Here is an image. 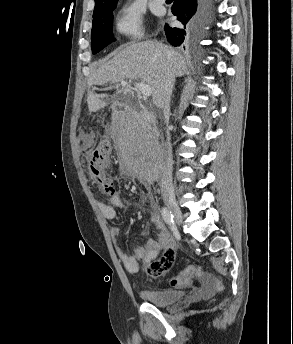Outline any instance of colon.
<instances>
[{"label":"colon","mask_w":293,"mask_h":344,"mask_svg":"<svg viewBox=\"0 0 293 344\" xmlns=\"http://www.w3.org/2000/svg\"><path fill=\"white\" fill-rule=\"evenodd\" d=\"M88 136V132H84V137ZM111 143L108 140H102L92 152L89 165L94 181L99 185L102 191L110 196L115 195V180L108 174L111 167ZM203 271L200 266H188L176 278L172 280V285L182 286L190 279L197 275H202ZM216 288L222 289L220 282H216Z\"/></svg>","instance_id":"1"}]
</instances>
